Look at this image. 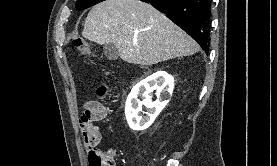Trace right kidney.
<instances>
[{
    "label": "right kidney",
    "instance_id": "ca27d5eb",
    "mask_svg": "<svg viewBox=\"0 0 277 166\" xmlns=\"http://www.w3.org/2000/svg\"><path fill=\"white\" fill-rule=\"evenodd\" d=\"M174 87L173 78L164 71H158L136 84L129 94L125 115L131 129L139 131L148 128L169 102ZM156 90L157 99L152 101L151 93ZM139 96L144 99L140 101ZM142 105L149 109L146 116H139Z\"/></svg>",
    "mask_w": 277,
    "mask_h": 166
}]
</instances>
